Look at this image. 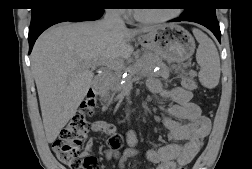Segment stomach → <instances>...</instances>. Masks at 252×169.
Segmentation results:
<instances>
[{
    "mask_svg": "<svg viewBox=\"0 0 252 169\" xmlns=\"http://www.w3.org/2000/svg\"><path fill=\"white\" fill-rule=\"evenodd\" d=\"M140 44L168 62H182L192 56L195 41L192 35L176 24L158 26L138 37Z\"/></svg>",
    "mask_w": 252,
    "mask_h": 169,
    "instance_id": "obj_1",
    "label": "stomach"
}]
</instances>
